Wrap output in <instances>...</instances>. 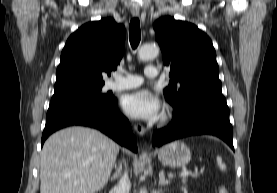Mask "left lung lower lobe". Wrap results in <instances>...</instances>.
Returning a JSON list of instances; mask_svg holds the SVG:
<instances>
[{
  "label": "left lung lower lobe",
  "mask_w": 277,
  "mask_h": 193,
  "mask_svg": "<svg viewBox=\"0 0 277 193\" xmlns=\"http://www.w3.org/2000/svg\"><path fill=\"white\" fill-rule=\"evenodd\" d=\"M201 134L215 135L234 150L229 108L221 91L200 92L190 97L182 108L175 110L166 128L153 132V146Z\"/></svg>",
  "instance_id": "0a47b994"
}]
</instances>
